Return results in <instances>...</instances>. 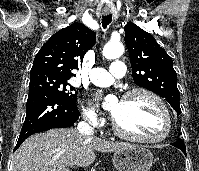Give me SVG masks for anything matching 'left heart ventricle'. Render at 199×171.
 I'll list each match as a JSON object with an SVG mask.
<instances>
[{"mask_svg": "<svg viewBox=\"0 0 199 171\" xmlns=\"http://www.w3.org/2000/svg\"><path fill=\"white\" fill-rule=\"evenodd\" d=\"M112 113L125 130L134 134L157 137L164 130L161 110L144 94H135L116 101L112 106Z\"/></svg>", "mask_w": 199, "mask_h": 171, "instance_id": "1", "label": "left heart ventricle"}]
</instances>
